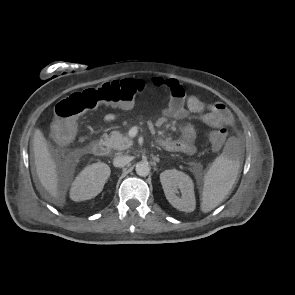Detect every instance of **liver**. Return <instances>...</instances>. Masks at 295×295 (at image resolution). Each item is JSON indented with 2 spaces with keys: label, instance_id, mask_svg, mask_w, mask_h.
Here are the masks:
<instances>
[{
  "label": "liver",
  "instance_id": "liver-1",
  "mask_svg": "<svg viewBox=\"0 0 295 295\" xmlns=\"http://www.w3.org/2000/svg\"><path fill=\"white\" fill-rule=\"evenodd\" d=\"M33 151L36 172L41 185L51 197L62 202L57 164L52 158L47 141L40 129L34 132Z\"/></svg>",
  "mask_w": 295,
  "mask_h": 295
}]
</instances>
